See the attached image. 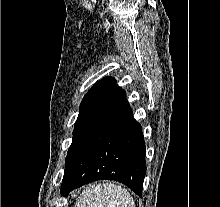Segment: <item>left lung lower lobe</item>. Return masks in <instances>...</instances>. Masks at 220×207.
<instances>
[{
  "mask_svg": "<svg viewBox=\"0 0 220 207\" xmlns=\"http://www.w3.org/2000/svg\"><path fill=\"white\" fill-rule=\"evenodd\" d=\"M146 174L141 125L124 90L114 85L74 131L61 194L96 180H116L142 196Z\"/></svg>",
  "mask_w": 220,
  "mask_h": 207,
  "instance_id": "left-lung-lower-lobe-1",
  "label": "left lung lower lobe"
}]
</instances>
